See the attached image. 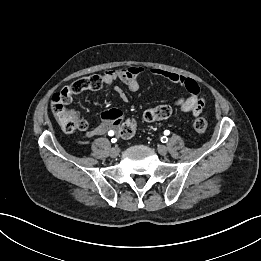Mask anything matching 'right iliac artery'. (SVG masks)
<instances>
[{
	"label": "right iliac artery",
	"instance_id": "1",
	"mask_svg": "<svg viewBox=\"0 0 261 261\" xmlns=\"http://www.w3.org/2000/svg\"><path fill=\"white\" fill-rule=\"evenodd\" d=\"M110 136H113L114 135V132L113 131H109V133H108ZM111 142L112 143H116L117 142V139L116 138H112L111 139Z\"/></svg>",
	"mask_w": 261,
	"mask_h": 261
}]
</instances>
